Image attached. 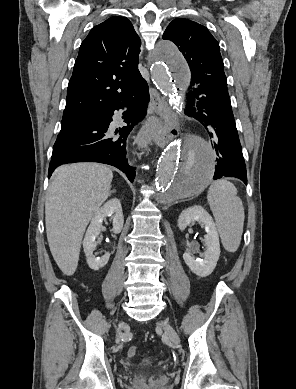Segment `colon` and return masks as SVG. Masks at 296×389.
<instances>
[{
	"instance_id": "1",
	"label": "colon",
	"mask_w": 296,
	"mask_h": 389,
	"mask_svg": "<svg viewBox=\"0 0 296 389\" xmlns=\"http://www.w3.org/2000/svg\"><path fill=\"white\" fill-rule=\"evenodd\" d=\"M127 354H128L129 357H134V356L137 354V349H136V347L131 346V347L128 349Z\"/></svg>"
}]
</instances>
